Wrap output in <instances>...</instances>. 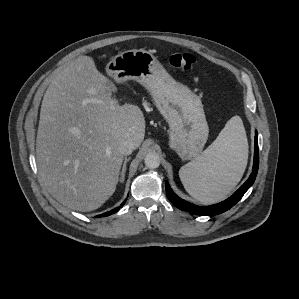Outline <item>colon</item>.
<instances>
[{
	"label": "colon",
	"instance_id": "5ec220e1",
	"mask_svg": "<svg viewBox=\"0 0 299 299\" xmlns=\"http://www.w3.org/2000/svg\"><path fill=\"white\" fill-rule=\"evenodd\" d=\"M196 57L190 53L176 52L170 55L169 64L176 68L189 70L196 64Z\"/></svg>",
	"mask_w": 299,
	"mask_h": 299
}]
</instances>
